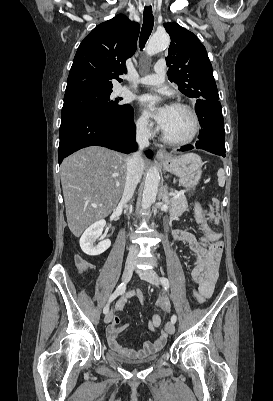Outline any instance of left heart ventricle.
Returning <instances> with one entry per match:
<instances>
[{"label": "left heart ventricle", "instance_id": "1", "mask_svg": "<svg viewBox=\"0 0 273 401\" xmlns=\"http://www.w3.org/2000/svg\"><path fill=\"white\" fill-rule=\"evenodd\" d=\"M194 129L192 118L183 110L173 107L163 130L173 138H188Z\"/></svg>", "mask_w": 273, "mask_h": 401}]
</instances>
